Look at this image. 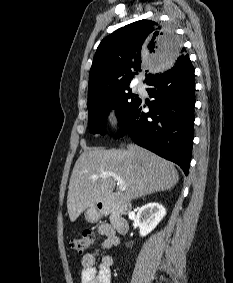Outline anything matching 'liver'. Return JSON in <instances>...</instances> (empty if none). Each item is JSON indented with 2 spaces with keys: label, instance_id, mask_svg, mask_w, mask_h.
Listing matches in <instances>:
<instances>
[{
  "label": "liver",
  "instance_id": "obj_1",
  "mask_svg": "<svg viewBox=\"0 0 233 283\" xmlns=\"http://www.w3.org/2000/svg\"><path fill=\"white\" fill-rule=\"evenodd\" d=\"M107 171L120 176L129 199L169 190L179 180L173 163L136 144L118 150L85 149L74 165L68 186L67 209L71 222L84 210L109 198L116 179L113 176L92 179L93 175Z\"/></svg>",
  "mask_w": 233,
  "mask_h": 283
}]
</instances>
